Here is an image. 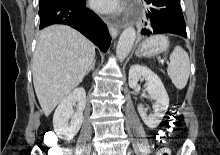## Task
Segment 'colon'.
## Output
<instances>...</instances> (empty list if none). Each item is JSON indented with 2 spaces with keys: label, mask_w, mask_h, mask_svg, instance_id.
Here are the masks:
<instances>
[{
  "label": "colon",
  "mask_w": 220,
  "mask_h": 155,
  "mask_svg": "<svg viewBox=\"0 0 220 155\" xmlns=\"http://www.w3.org/2000/svg\"><path fill=\"white\" fill-rule=\"evenodd\" d=\"M178 113L171 110L166 117V133H157L156 144H153V149H161L159 155H169L167 145H171L172 132L178 127Z\"/></svg>",
  "instance_id": "1"
}]
</instances>
